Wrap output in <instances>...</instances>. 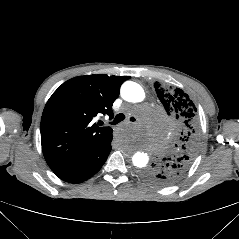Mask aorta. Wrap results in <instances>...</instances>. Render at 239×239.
Masks as SVG:
<instances>
[{
  "mask_svg": "<svg viewBox=\"0 0 239 239\" xmlns=\"http://www.w3.org/2000/svg\"><path fill=\"white\" fill-rule=\"evenodd\" d=\"M121 96L129 102H141L145 97L143 88L132 81H126L121 87ZM153 148L136 150L132 156V163L138 168H144L150 161Z\"/></svg>",
  "mask_w": 239,
  "mask_h": 239,
  "instance_id": "obj_1",
  "label": "aorta"
}]
</instances>
